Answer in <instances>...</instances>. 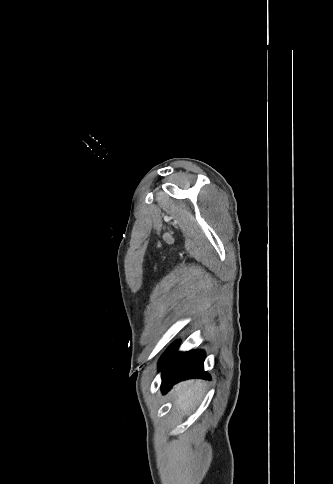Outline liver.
Listing matches in <instances>:
<instances>
[{
	"instance_id": "6515ba94",
	"label": "liver",
	"mask_w": 333,
	"mask_h": 484,
	"mask_svg": "<svg viewBox=\"0 0 333 484\" xmlns=\"http://www.w3.org/2000/svg\"><path fill=\"white\" fill-rule=\"evenodd\" d=\"M202 380H187L177 384L171 391L176 408L188 414L200 402L203 396Z\"/></svg>"
}]
</instances>
